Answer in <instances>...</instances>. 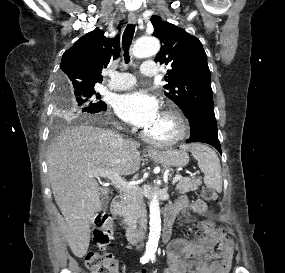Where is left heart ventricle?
I'll use <instances>...</instances> for the list:
<instances>
[{"mask_svg":"<svg viewBox=\"0 0 285 273\" xmlns=\"http://www.w3.org/2000/svg\"><path fill=\"white\" fill-rule=\"evenodd\" d=\"M145 132L156 139H168L176 134L177 126L172 118L161 114L158 120Z\"/></svg>","mask_w":285,"mask_h":273,"instance_id":"left-heart-ventricle-1","label":"left heart ventricle"}]
</instances>
